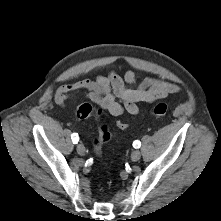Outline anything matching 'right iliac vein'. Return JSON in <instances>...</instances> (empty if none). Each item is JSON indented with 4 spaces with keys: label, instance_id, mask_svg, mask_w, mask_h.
<instances>
[{
    "label": "right iliac vein",
    "instance_id": "right-iliac-vein-1",
    "mask_svg": "<svg viewBox=\"0 0 221 221\" xmlns=\"http://www.w3.org/2000/svg\"><path fill=\"white\" fill-rule=\"evenodd\" d=\"M76 149H77V152L79 155H81V156L85 155L86 149L82 144H78Z\"/></svg>",
    "mask_w": 221,
    "mask_h": 221
}]
</instances>
